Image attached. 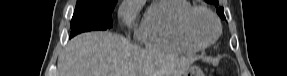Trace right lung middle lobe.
I'll return each instance as SVG.
<instances>
[{
  "label": "right lung middle lobe",
  "mask_w": 287,
  "mask_h": 76,
  "mask_svg": "<svg viewBox=\"0 0 287 76\" xmlns=\"http://www.w3.org/2000/svg\"><path fill=\"white\" fill-rule=\"evenodd\" d=\"M118 0H78L71 21L70 38L93 30L111 28V12Z\"/></svg>",
  "instance_id": "dd1d6c3e"
}]
</instances>
